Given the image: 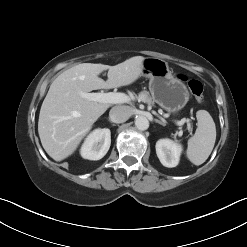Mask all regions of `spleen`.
Listing matches in <instances>:
<instances>
[{"instance_id": "spleen-1", "label": "spleen", "mask_w": 247, "mask_h": 247, "mask_svg": "<svg viewBox=\"0 0 247 247\" xmlns=\"http://www.w3.org/2000/svg\"><path fill=\"white\" fill-rule=\"evenodd\" d=\"M198 127L195 134L188 140L187 157L194 165L203 164L211 154L215 140L216 127L213 118L206 110L196 114Z\"/></svg>"}]
</instances>
